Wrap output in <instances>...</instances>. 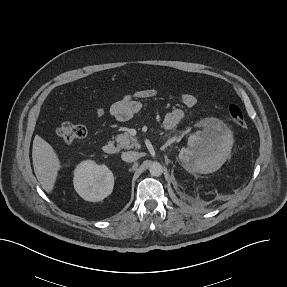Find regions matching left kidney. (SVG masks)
Instances as JSON below:
<instances>
[{
  "label": "left kidney",
  "instance_id": "1",
  "mask_svg": "<svg viewBox=\"0 0 287 287\" xmlns=\"http://www.w3.org/2000/svg\"><path fill=\"white\" fill-rule=\"evenodd\" d=\"M189 147L182 148L179 159L189 172L208 174L217 171L230 155L233 136L221 124H206L203 131L189 137Z\"/></svg>",
  "mask_w": 287,
  "mask_h": 287
}]
</instances>
